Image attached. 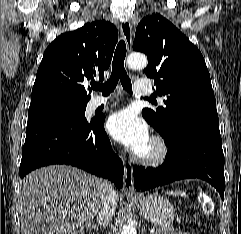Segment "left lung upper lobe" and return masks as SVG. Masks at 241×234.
I'll return each instance as SVG.
<instances>
[{
  "label": "left lung upper lobe",
  "instance_id": "left-lung-upper-lobe-1",
  "mask_svg": "<svg viewBox=\"0 0 241 234\" xmlns=\"http://www.w3.org/2000/svg\"><path fill=\"white\" fill-rule=\"evenodd\" d=\"M133 49L146 54L147 77L154 78L155 92L166 97L157 110L145 108L142 116L172 142L176 132L189 125L219 129L210 74L196 46L160 14L145 17L135 33Z\"/></svg>",
  "mask_w": 241,
  "mask_h": 234
}]
</instances>
